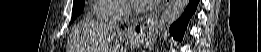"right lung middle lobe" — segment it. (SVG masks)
<instances>
[{"label":"right lung middle lobe","instance_id":"obj_1","mask_svg":"<svg viewBox=\"0 0 261 52\" xmlns=\"http://www.w3.org/2000/svg\"><path fill=\"white\" fill-rule=\"evenodd\" d=\"M83 5V0H78L77 2L73 3L71 22L74 21L75 18L81 13V11L83 10Z\"/></svg>","mask_w":261,"mask_h":52}]
</instances>
